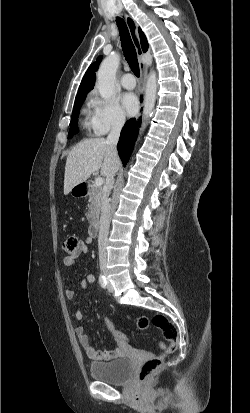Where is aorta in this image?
<instances>
[{
  "instance_id": "762f6f07",
  "label": "aorta",
  "mask_w": 250,
  "mask_h": 413,
  "mask_svg": "<svg viewBox=\"0 0 250 413\" xmlns=\"http://www.w3.org/2000/svg\"><path fill=\"white\" fill-rule=\"evenodd\" d=\"M120 64V56L118 54H111L107 56L101 63L97 73V87L101 96L104 99H109L115 89L116 71ZM157 93V77L155 71H152L147 79L145 87L144 108H143V122L141 130H144L148 119L152 115L156 101Z\"/></svg>"
}]
</instances>
